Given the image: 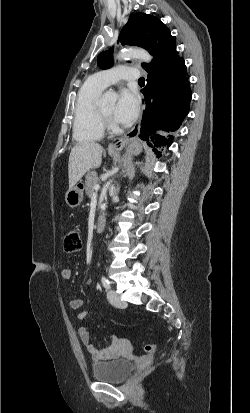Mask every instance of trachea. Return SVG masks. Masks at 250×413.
Wrapping results in <instances>:
<instances>
[{
  "label": "trachea",
  "instance_id": "3493384b",
  "mask_svg": "<svg viewBox=\"0 0 250 413\" xmlns=\"http://www.w3.org/2000/svg\"><path fill=\"white\" fill-rule=\"evenodd\" d=\"M138 83H145V79H144L143 77H141V78L138 80Z\"/></svg>",
  "mask_w": 250,
  "mask_h": 413
}]
</instances>
